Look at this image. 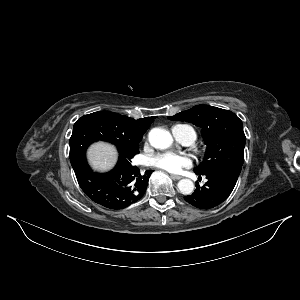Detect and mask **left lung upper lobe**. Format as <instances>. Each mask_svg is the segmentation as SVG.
<instances>
[{
	"mask_svg": "<svg viewBox=\"0 0 300 300\" xmlns=\"http://www.w3.org/2000/svg\"><path fill=\"white\" fill-rule=\"evenodd\" d=\"M168 119L190 122L202 128L207 151L203 162L194 172L205 174L227 169L240 174L244 161L245 134L242 121L236 114L213 106L197 105Z\"/></svg>",
	"mask_w": 300,
	"mask_h": 300,
	"instance_id": "5c2ea615",
	"label": "left lung upper lobe"
}]
</instances>
